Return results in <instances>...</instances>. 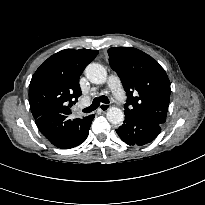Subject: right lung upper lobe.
Instances as JSON below:
<instances>
[{
  "instance_id": "obj_1",
  "label": "right lung upper lobe",
  "mask_w": 205,
  "mask_h": 205,
  "mask_svg": "<svg viewBox=\"0 0 205 205\" xmlns=\"http://www.w3.org/2000/svg\"><path fill=\"white\" fill-rule=\"evenodd\" d=\"M97 54V50L65 49L37 69L29 86V104L35 119L51 111L71 114L70 108L82 94L79 77Z\"/></svg>"
}]
</instances>
